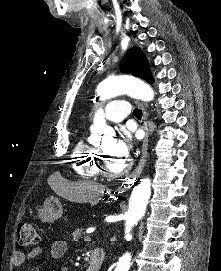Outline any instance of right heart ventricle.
Segmentation results:
<instances>
[{
	"mask_svg": "<svg viewBox=\"0 0 221 271\" xmlns=\"http://www.w3.org/2000/svg\"><path fill=\"white\" fill-rule=\"evenodd\" d=\"M82 142H77V147H86V140L83 138ZM71 159L72 164H82V166H75L77 176H83V179H97L99 172V165L96 161H91L89 154H73Z\"/></svg>",
	"mask_w": 221,
	"mask_h": 271,
	"instance_id": "right-heart-ventricle-1",
	"label": "right heart ventricle"
}]
</instances>
